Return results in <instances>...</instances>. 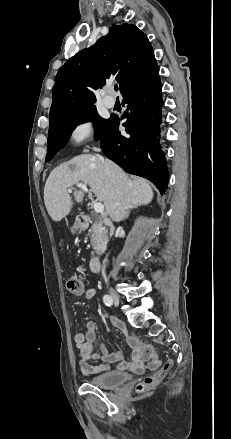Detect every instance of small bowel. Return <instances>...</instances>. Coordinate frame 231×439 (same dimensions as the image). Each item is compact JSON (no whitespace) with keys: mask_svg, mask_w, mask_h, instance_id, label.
Here are the masks:
<instances>
[{"mask_svg":"<svg viewBox=\"0 0 231 439\" xmlns=\"http://www.w3.org/2000/svg\"><path fill=\"white\" fill-rule=\"evenodd\" d=\"M95 294V289H89L85 292V298L88 300L92 299ZM116 326L123 332L126 337L129 336L128 332L122 324L116 322ZM96 337V324L92 321H89L86 324L85 333H77L74 336V343L78 350V356L80 359L79 369L82 373L89 375L105 372L110 369V363H116L117 368L120 370L129 369L134 372H142L144 370V358L141 354V348L143 345L142 343L134 348L131 361L126 362L124 361L123 356L120 352L107 353L103 349V354L101 356L93 353V344L96 341ZM94 359H101L103 363L97 366L90 364V362Z\"/></svg>","mask_w":231,"mask_h":439,"instance_id":"1","label":"small bowel"}]
</instances>
